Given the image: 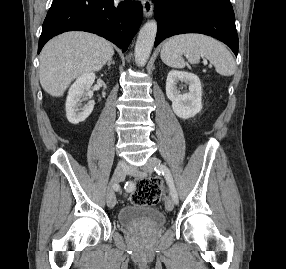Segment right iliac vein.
Segmentation results:
<instances>
[{
	"instance_id": "obj_1",
	"label": "right iliac vein",
	"mask_w": 286,
	"mask_h": 269,
	"mask_svg": "<svg viewBox=\"0 0 286 269\" xmlns=\"http://www.w3.org/2000/svg\"><path fill=\"white\" fill-rule=\"evenodd\" d=\"M127 170H128V167L126 164L119 163L114 170L110 185L123 181L125 176H126ZM115 204H116V196H115L114 191L112 190V188L110 186L108 189V192H107V205L110 208H113L115 206Z\"/></svg>"
}]
</instances>
